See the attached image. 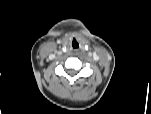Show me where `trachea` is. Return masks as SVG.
<instances>
[{
  "instance_id": "trachea-1",
  "label": "trachea",
  "mask_w": 151,
  "mask_h": 114,
  "mask_svg": "<svg viewBox=\"0 0 151 114\" xmlns=\"http://www.w3.org/2000/svg\"><path fill=\"white\" fill-rule=\"evenodd\" d=\"M75 43H76V48H78V47H79V45L77 44V42H75ZM73 44H74V42H73ZM73 44H72V45H73Z\"/></svg>"
}]
</instances>
